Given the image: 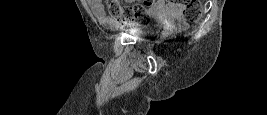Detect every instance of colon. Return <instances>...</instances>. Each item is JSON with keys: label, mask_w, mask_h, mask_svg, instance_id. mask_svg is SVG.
Returning <instances> with one entry per match:
<instances>
[{"label": "colon", "mask_w": 267, "mask_h": 115, "mask_svg": "<svg viewBox=\"0 0 267 115\" xmlns=\"http://www.w3.org/2000/svg\"><path fill=\"white\" fill-rule=\"evenodd\" d=\"M172 2L183 6V15L186 21L195 22L200 18L202 6L199 0H172ZM152 4V1L135 5H124L118 0L107 2L110 15L121 24L146 20L148 7Z\"/></svg>", "instance_id": "1"}]
</instances>
